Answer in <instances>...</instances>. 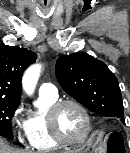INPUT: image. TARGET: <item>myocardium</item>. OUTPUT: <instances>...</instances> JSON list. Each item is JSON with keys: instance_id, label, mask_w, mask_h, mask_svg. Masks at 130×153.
Returning a JSON list of instances; mask_svg holds the SVG:
<instances>
[{"instance_id": "myocardium-1", "label": "myocardium", "mask_w": 130, "mask_h": 153, "mask_svg": "<svg viewBox=\"0 0 130 153\" xmlns=\"http://www.w3.org/2000/svg\"><path fill=\"white\" fill-rule=\"evenodd\" d=\"M66 105L75 106L77 109L80 110L84 118V122H85L84 132L76 140H70V139L65 138L61 134L59 127H58V122H57L58 114L60 110ZM47 125H48L50 135L52 136L54 141L57 142L59 145H63V146L82 145L88 139L91 129H92L91 118H90V115L86 107L81 102L74 100V99H62V100L55 102L48 110Z\"/></svg>"}]
</instances>
